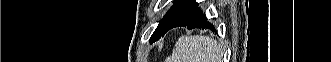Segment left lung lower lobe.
I'll return each mask as SVG.
<instances>
[{"label": "left lung lower lobe", "instance_id": "obj_1", "mask_svg": "<svg viewBox=\"0 0 331 62\" xmlns=\"http://www.w3.org/2000/svg\"><path fill=\"white\" fill-rule=\"evenodd\" d=\"M181 26L187 27L188 29H214V26L207 21L203 12L198 8V3H196L195 0H187L186 3L169 19L164 27L163 36L170 29ZM156 39L155 35H152L151 41Z\"/></svg>", "mask_w": 331, "mask_h": 62}]
</instances>
